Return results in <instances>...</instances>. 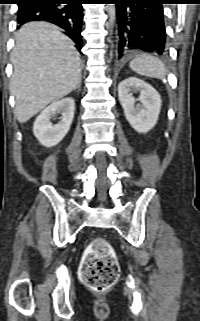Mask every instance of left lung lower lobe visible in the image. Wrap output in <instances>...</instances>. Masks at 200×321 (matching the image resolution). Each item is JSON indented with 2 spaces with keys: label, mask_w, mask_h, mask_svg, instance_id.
<instances>
[{
  "label": "left lung lower lobe",
  "mask_w": 200,
  "mask_h": 321,
  "mask_svg": "<svg viewBox=\"0 0 200 321\" xmlns=\"http://www.w3.org/2000/svg\"><path fill=\"white\" fill-rule=\"evenodd\" d=\"M116 4L119 57L129 51L163 54L166 31L163 6L167 0H113Z\"/></svg>",
  "instance_id": "obj_1"
}]
</instances>
